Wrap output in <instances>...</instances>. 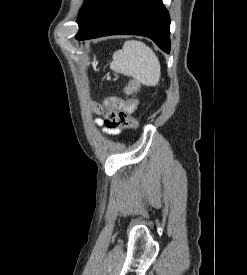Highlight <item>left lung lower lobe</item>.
<instances>
[{"label":"left lung lower lobe","instance_id":"obj_1","mask_svg":"<svg viewBox=\"0 0 247 275\" xmlns=\"http://www.w3.org/2000/svg\"><path fill=\"white\" fill-rule=\"evenodd\" d=\"M140 35L170 51V17L162 0H101L79 28L78 40L107 35Z\"/></svg>","mask_w":247,"mask_h":275}]
</instances>
